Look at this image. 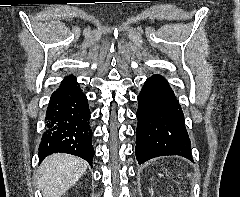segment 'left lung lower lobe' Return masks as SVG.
I'll return each mask as SVG.
<instances>
[{
    "label": "left lung lower lobe",
    "mask_w": 240,
    "mask_h": 197,
    "mask_svg": "<svg viewBox=\"0 0 240 197\" xmlns=\"http://www.w3.org/2000/svg\"><path fill=\"white\" fill-rule=\"evenodd\" d=\"M138 102V163L164 155H180L193 161L184 115L168 82L160 75L148 78Z\"/></svg>",
    "instance_id": "left-lung-lower-lobe-1"
}]
</instances>
